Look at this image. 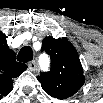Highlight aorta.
I'll return each mask as SVG.
<instances>
[{"label": "aorta", "mask_w": 103, "mask_h": 103, "mask_svg": "<svg viewBox=\"0 0 103 103\" xmlns=\"http://www.w3.org/2000/svg\"><path fill=\"white\" fill-rule=\"evenodd\" d=\"M40 63L43 65V64H46L47 63V59H45V58H41L40 59Z\"/></svg>", "instance_id": "aorta-1"}]
</instances>
